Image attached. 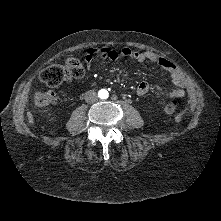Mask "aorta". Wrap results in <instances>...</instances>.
<instances>
[{
    "mask_svg": "<svg viewBox=\"0 0 221 221\" xmlns=\"http://www.w3.org/2000/svg\"><path fill=\"white\" fill-rule=\"evenodd\" d=\"M98 96L100 99H107L108 96H109V93L106 89H101L99 92H98Z\"/></svg>",
    "mask_w": 221,
    "mask_h": 221,
    "instance_id": "1",
    "label": "aorta"
}]
</instances>
